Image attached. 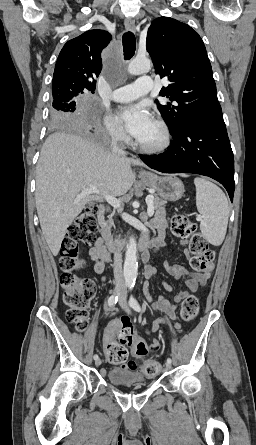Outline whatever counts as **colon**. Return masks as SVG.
I'll return each mask as SVG.
<instances>
[{"label": "colon", "mask_w": 256, "mask_h": 445, "mask_svg": "<svg viewBox=\"0 0 256 445\" xmlns=\"http://www.w3.org/2000/svg\"><path fill=\"white\" fill-rule=\"evenodd\" d=\"M98 206L90 205L75 220L68 229L67 237L60 249L59 264L62 270L60 285L62 286L63 301L67 306V318L75 328L82 331L87 325V309L95 293L92 279L80 277L76 273L78 254L82 245H89L98 230ZM171 231L174 236L189 239V250L193 255L192 266L202 272H211L215 265V253L210 249L207 240L197 230L196 225L185 214H175L171 218ZM199 310V301L195 296H188L181 309V318L192 321ZM122 331L119 341L107 344L104 351L107 359L112 363L121 364L126 361L127 349L135 357H143L148 353L146 342L136 335L132 320L123 316L119 320ZM160 370L156 361H146L143 372L149 377L155 376Z\"/></svg>", "instance_id": "colon-1"}]
</instances>
